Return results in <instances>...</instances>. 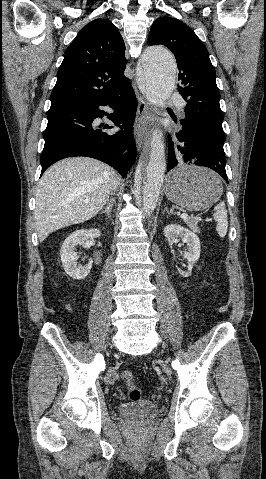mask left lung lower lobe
<instances>
[{
	"label": "left lung lower lobe",
	"mask_w": 266,
	"mask_h": 479,
	"mask_svg": "<svg viewBox=\"0 0 266 479\" xmlns=\"http://www.w3.org/2000/svg\"><path fill=\"white\" fill-rule=\"evenodd\" d=\"M176 137L177 141L173 142L169 136L168 171L185 162L211 168L228 183L225 170L226 159L208 161L203 148L191 136L187 135L182 128L176 132Z\"/></svg>",
	"instance_id": "1"
}]
</instances>
